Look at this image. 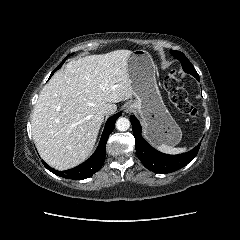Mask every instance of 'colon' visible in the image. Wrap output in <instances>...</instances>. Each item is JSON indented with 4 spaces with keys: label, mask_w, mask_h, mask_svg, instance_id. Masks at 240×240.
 <instances>
[{
    "label": "colon",
    "mask_w": 240,
    "mask_h": 240,
    "mask_svg": "<svg viewBox=\"0 0 240 240\" xmlns=\"http://www.w3.org/2000/svg\"><path fill=\"white\" fill-rule=\"evenodd\" d=\"M164 86L171 102L180 112L191 118L198 116V110L188 100L187 93L182 86V81L175 70H172L167 74L164 80Z\"/></svg>",
    "instance_id": "5ec220e1"
}]
</instances>
